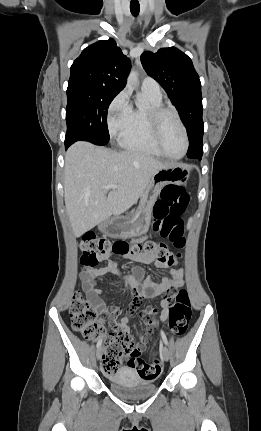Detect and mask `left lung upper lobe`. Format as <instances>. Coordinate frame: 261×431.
Segmentation results:
<instances>
[{
	"label": "left lung upper lobe",
	"mask_w": 261,
	"mask_h": 431,
	"mask_svg": "<svg viewBox=\"0 0 261 431\" xmlns=\"http://www.w3.org/2000/svg\"><path fill=\"white\" fill-rule=\"evenodd\" d=\"M141 62L149 76L166 90L189 137L187 156L201 160L204 124L201 83L191 59L175 47L144 52Z\"/></svg>",
	"instance_id": "left-lung-upper-lobe-1"
}]
</instances>
